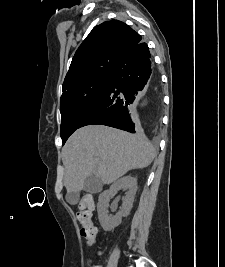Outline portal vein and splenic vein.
<instances>
[{
    "label": "portal vein and splenic vein",
    "instance_id": "1",
    "mask_svg": "<svg viewBox=\"0 0 225 267\" xmlns=\"http://www.w3.org/2000/svg\"><path fill=\"white\" fill-rule=\"evenodd\" d=\"M95 162H99V159H98V158H96V159H95Z\"/></svg>",
    "mask_w": 225,
    "mask_h": 267
}]
</instances>
